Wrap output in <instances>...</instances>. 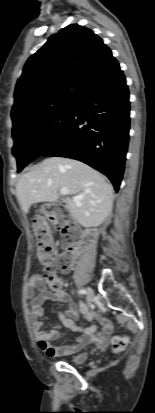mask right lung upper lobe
Instances as JSON below:
<instances>
[{
  "label": "right lung upper lobe",
  "instance_id": "right-lung-upper-lobe-1",
  "mask_svg": "<svg viewBox=\"0 0 155 413\" xmlns=\"http://www.w3.org/2000/svg\"><path fill=\"white\" fill-rule=\"evenodd\" d=\"M118 68L109 47L93 31L78 24L63 28L26 62L14 93L13 128L75 103Z\"/></svg>",
  "mask_w": 155,
  "mask_h": 413
}]
</instances>
